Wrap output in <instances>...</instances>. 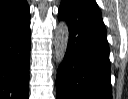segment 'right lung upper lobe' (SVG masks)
<instances>
[{"instance_id":"right-lung-upper-lobe-1","label":"right lung upper lobe","mask_w":128,"mask_h":99,"mask_svg":"<svg viewBox=\"0 0 128 99\" xmlns=\"http://www.w3.org/2000/svg\"><path fill=\"white\" fill-rule=\"evenodd\" d=\"M27 6L26 0H0V24Z\"/></svg>"}]
</instances>
